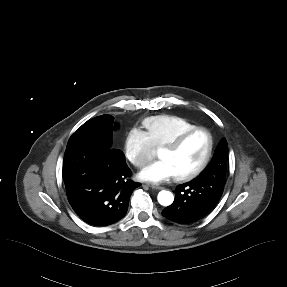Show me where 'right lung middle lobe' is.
Segmentation results:
<instances>
[{"label": "right lung middle lobe", "mask_w": 287, "mask_h": 287, "mask_svg": "<svg viewBox=\"0 0 287 287\" xmlns=\"http://www.w3.org/2000/svg\"><path fill=\"white\" fill-rule=\"evenodd\" d=\"M113 120L110 115H102L88 120L69 139L68 144L97 141L111 147L113 137Z\"/></svg>", "instance_id": "obj_1"}]
</instances>
